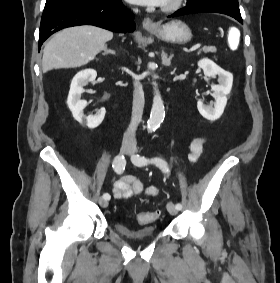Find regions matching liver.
<instances>
[{
	"instance_id": "6515ba94",
	"label": "liver",
	"mask_w": 280,
	"mask_h": 283,
	"mask_svg": "<svg viewBox=\"0 0 280 283\" xmlns=\"http://www.w3.org/2000/svg\"><path fill=\"white\" fill-rule=\"evenodd\" d=\"M112 38L111 31L90 25L64 29L44 47L43 72L85 65L104 50L106 42Z\"/></svg>"
}]
</instances>
